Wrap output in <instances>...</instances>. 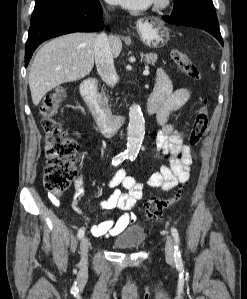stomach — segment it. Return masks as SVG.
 I'll use <instances>...</instances> for the list:
<instances>
[{"label":"stomach","instance_id":"obj_1","mask_svg":"<svg viewBox=\"0 0 247 299\" xmlns=\"http://www.w3.org/2000/svg\"><path fill=\"white\" fill-rule=\"evenodd\" d=\"M137 27L142 42L150 48L163 47L170 39L169 29L160 21H141Z\"/></svg>","mask_w":247,"mask_h":299}]
</instances>
